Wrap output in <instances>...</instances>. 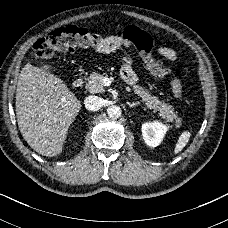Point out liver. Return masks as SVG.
<instances>
[{
  "mask_svg": "<svg viewBox=\"0 0 228 228\" xmlns=\"http://www.w3.org/2000/svg\"><path fill=\"white\" fill-rule=\"evenodd\" d=\"M82 101L62 80L28 62L18 81L16 115L26 143L45 157L63 152L70 127Z\"/></svg>",
  "mask_w": 228,
  "mask_h": 228,
  "instance_id": "1",
  "label": "liver"
}]
</instances>
